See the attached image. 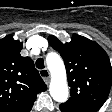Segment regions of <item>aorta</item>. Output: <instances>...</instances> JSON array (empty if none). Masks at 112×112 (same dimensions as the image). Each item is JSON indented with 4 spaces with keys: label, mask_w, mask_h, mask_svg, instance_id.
<instances>
[{
    "label": "aorta",
    "mask_w": 112,
    "mask_h": 112,
    "mask_svg": "<svg viewBox=\"0 0 112 112\" xmlns=\"http://www.w3.org/2000/svg\"><path fill=\"white\" fill-rule=\"evenodd\" d=\"M46 63L51 72L50 94L55 101L65 102L69 97V90L63 60L57 53L51 52L46 56Z\"/></svg>",
    "instance_id": "obj_1"
}]
</instances>
